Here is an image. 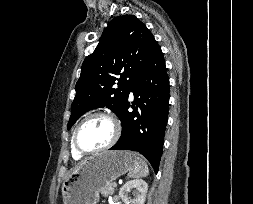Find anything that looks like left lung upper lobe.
Wrapping results in <instances>:
<instances>
[{
    "instance_id": "left-lung-upper-lobe-1",
    "label": "left lung upper lobe",
    "mask_w": 253,
    "mask_h": 204,
    "mask_svg": "<svg viewBox=\"0 0 253 204\" xmlns=\"http://www.w3.org/2000/svg\"><path fill=\"white\" fill-rule=\"evenodd\" d=\"M156 44L152 33L136 16L113 18L95 51L82 64L68 129L95 108L106 106L119 117L133 82Z\"/></svg>"
}]
</instances>
